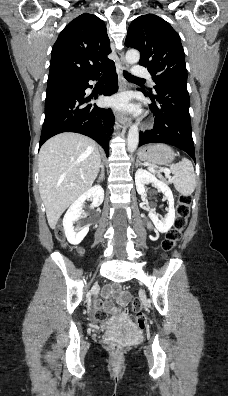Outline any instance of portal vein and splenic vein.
I'll return each instance as SVG.
<instances>
[{
    "mask_svg": "<svg viewBox=\"0 0 228 396\" xmlns=\"http://www.w3.org/2000/svg\"><path fill=\"white\" fill-rule=\"evenodd\" d=\"M150 170L152 171V172H154V170L152 169V168H150ZM160 171H166L167 173V175H169V171L168 170H164V169H160Z\"/></svg>",
    "mask_w": 228,
    "mask_h": 396,
    "instance_id": "obj_1",
    "label": "portal vein and splenic vein"
}]
</instances>
